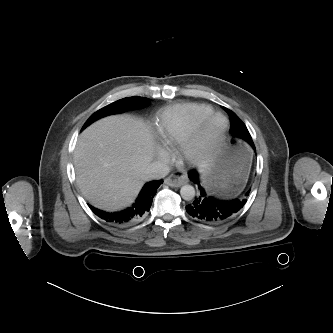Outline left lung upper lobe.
Returning <instances> with one entry per match:
<instances>
[{"instance_id": "obj_1", "label": "left lung upper lobe", "mask_w": 333, "mask_h": 333, "mask_svg": "<svg viewBox=\"0 0 333 333\" xmlns=\"http://www.w3.org/2000/svg\"><path fill=\"white\" fill-rule=\"evenodd\" d=\"M223 109L229 114L231 121V136L236 141H245L255 149L251 135L245 126V124L239 119V117L231 110L223 107Z\"/></svg>"}]
</instances>
